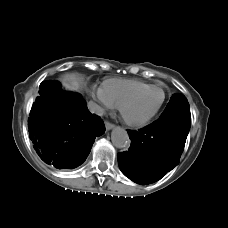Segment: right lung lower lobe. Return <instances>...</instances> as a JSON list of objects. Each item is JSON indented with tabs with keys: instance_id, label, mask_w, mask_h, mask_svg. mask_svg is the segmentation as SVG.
<instances>
[{
	"instance_id": "obj_1",
	"label": "right lung lower lobe",
	"mask_w": 228,
	"mask_h": 228,
	"mask_svg": "<svg viewBox=\"0 0 228 228\" xmlns=\"http://www.w3.org/2000/svg\"><path fill=\"white\" fill-rule=\"evenodd\" d=\"M28 120L29 137L39 157L58 169L76 168L87 158L94 139L105 132L99 116L87 110L81 95L43 81Z\"/></svg>"
}]
</instances>
